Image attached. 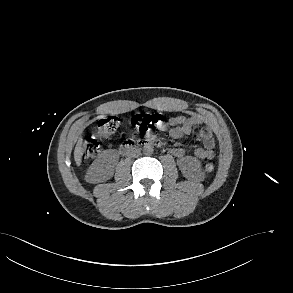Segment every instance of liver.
<instances>
[{"label":"liver","instance_id":"obj_1","mask_svg":"<svg viewBox=\"0 0 293 293\" xmlns=\"http://www.w3.org/2000/svg\"><path fill=\"white\" fill-rule=\"evenodd\" d=\"M83 151H84V149L82 146V138H79L78 142L75 146V149H74V160H75L77 166H80V164H81Z\"/></svg>","mask_w":293,"mask_h":293}]
</instances>
